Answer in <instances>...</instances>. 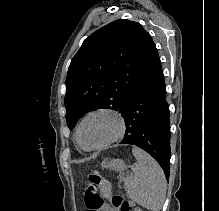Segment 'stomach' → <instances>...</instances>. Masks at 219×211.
Segmentation results:
<instances>
[{
  "label": "stomach",
  "instance_id": "stomach-1",
  "mask_svg": "<svg viewBox=\"0 0 219 211\" xmlns=\"http://www.w3.org/2000/svg\"><path fill=\"white\" fill-rule=\"evenodd\" d=\"M102 168L110 169V170H115L118 172H123L126 169V165L123 160L120 159H113L110 161H103L102 162Z\"/></svg>",
  "mask_w": 219,
  "mask_h": 211
}]
</instances>
